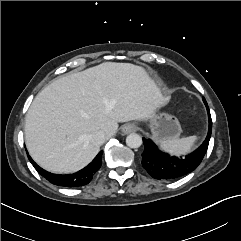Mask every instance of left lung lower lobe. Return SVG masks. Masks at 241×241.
Wrapping results in <instances>:
<instances>
[{
    "label": "left lung lower lobe",
    "mask_w": 241,
    "mask_h": 241,
    "mask_svg": "<svg viewBox=\"0 0 241 241\" xmlns=\"http://www.w3.org/2000/svg\"><path fill=\"white\" fill-rule=\"evenodd\" d=\"M203 100L209 116V130L205 141L196 151L183 157H175L160 151L150 139L143 138L144 152L142 153V166L153 178H180L195 170L201 163L207 151L212 132V120L209 108L206 100L204 98Z\"/></svg>",
    "instance_id": "left-lung-lower-lobe-1"
}]
</instances>
